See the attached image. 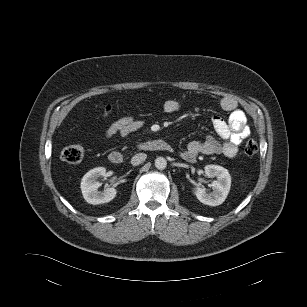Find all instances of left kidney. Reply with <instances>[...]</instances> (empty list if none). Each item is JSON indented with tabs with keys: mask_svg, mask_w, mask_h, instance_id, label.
<instances>
[{
	"mask_svg": "<svg viewBox=\"0 0 307 307\" xmlns=\"http://www.w3.org/2000/svg\"><path fill=\"white\" fill-rule=\"evenodd\" d=\"M204 170L206 176L217 178L211 184L213 191L208 193L204 188L196 187L193 192L201 203L218 206L225 201L230 191L231 176L227 169L219 165H206Z\"/></svg>",
	"mask_w": 307,
	"mask_h": 307,
	"instance_id": "5707ae66",
	"label": "left kidney"
}]
</instances>
